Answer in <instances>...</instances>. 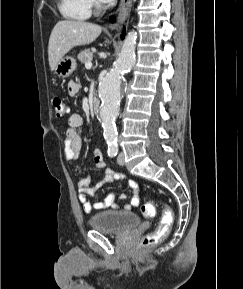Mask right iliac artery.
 <instances>
[{
    "mask_svg": "<svg viewBox=\"0 0 243 289\" xmlns=\"http://www.w3.org/2000/svg\"><path fill=\"white\" fill-rule=\"evenodd\" d=\"M108 155L110 157H115L117 155V152L116 151H108Z\"/></svg>",
    "mask_w": 243,
    "mask_h": 289,
    "instance_id": "1",
    "label": "right iliac artery"
}]
</instances>
